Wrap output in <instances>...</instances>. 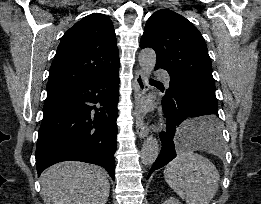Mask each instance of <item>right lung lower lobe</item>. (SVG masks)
Returning <instances> with one entry per match:
<instances>
[{
	"label": "right lung lower lobe",
	"mask_w": 261,
	"mask_h": 204,
	"mask_svg": "<svg viewBox=\"0 0 261 204\" xmlns=\"http://www.w3.org/2000/svg\"><path fill=\"white\" fill-rule=\"evenodd\" d=\"M118 72L47 91L35 153L38 176L55 163L76 160L104 167L114 180Z\"/></svg>",
	"instance_id": "98d812e1"
}]
</instances>
